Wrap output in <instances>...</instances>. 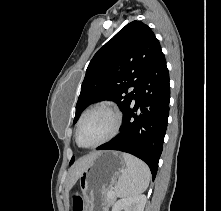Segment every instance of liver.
<instances>
[{
	"instance_id": "liver-1",
	"label": "liver",
	"mask_w": 221,
	"mask_h": 211,
	"mask_svg": "<svg viewBox=\"0 0 221 211\" xmlns=\"http://www.w3.org/2000/svg\"><path fill=\"white\" fill-rule=\"evenodd\" d=\"M97 152L91 153L83 158L78 159L71 167L69 172V178L66 185V195L68 197L69 191L75 185L79 179L84 168L91 162Z\"/></svg>"
}]
</instances>
